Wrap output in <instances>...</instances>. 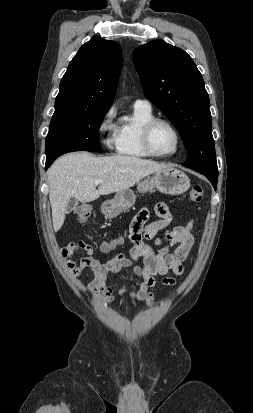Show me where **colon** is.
Returning <instances> with one entry per match:
<instances>
[{
	"label": "colon",
	"mask_w": 253,
	"mask_h": 413,
	"mask_svg": "<svg viewBox=\"0 0 253 413\" xmlns=\"http://www.w3.org/2000/svg\"><path fill=\"white\" fill-rule=\"evenodd\" d=\"M203 196V188L200 185H194L189 191V198L191 201L199 202ZM75 214L80 223H85L91 214V206L89 204H82L75 209ZM122 243V239H115L108 242H103L100 249L103 252H108L115 249Z\"/></svg>",
	"instance_id": "5ec220e1"
}]
</instances>
